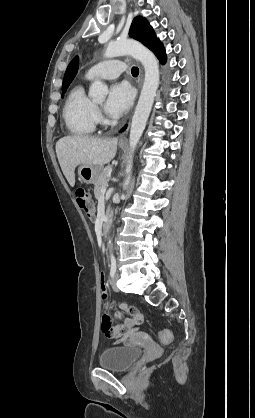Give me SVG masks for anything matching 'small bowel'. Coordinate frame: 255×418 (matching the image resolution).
I'll return each mask as SVG.
<instances>
[{
    "instance_id": "small-bowel-1",
    "label": "small bowel",
    "mask_w": 255,
    "mask_h": 418,
    "mask_svg": "<svg viewBox=\"0 0 255 418\" xmlns=\"http://www.w3.org/2000/svg\"><path fill=\"white\" fill-rule=\"evenodd\" d=\"M102 298L106 302V289L104 275L101 276ZM122 310L129 315L123 323L112 327V319L108 313L102 315L101 328L102 332L108 339L116 341L135 340L137 335L134 334V328L142 321V315L133 307L126 304L121 306Z\"/></svg>"
}]
</instances>
